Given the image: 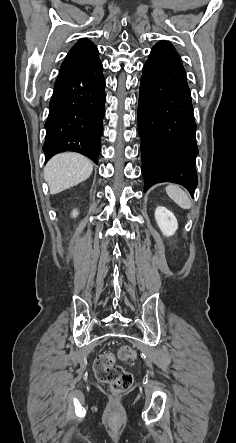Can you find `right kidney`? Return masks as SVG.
<instances>
[{
    "label": "right kidney",
    "instance_id": "1",
    "mask_svg": "<svg viewBox=\"0 0 236 443\" xmlns=\"http://www.w3.org/2000/svg\"><path fill=\"white\" fill-rule=\"evenodd\" d=\"M72 215H73V217H76L78 215V212L76 210H74Z\"/></svg>",
    "mask_w": 236,
    "mask_h": 443
}]
</instances>
